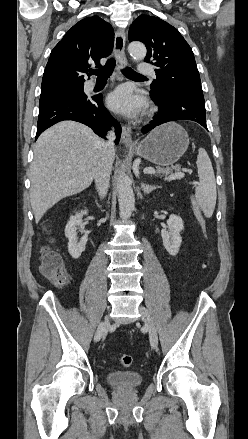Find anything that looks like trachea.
<instances>
[{
	"label": "trachea",
	"instance_id": "trachea-1",
	"mask_svg": "<svg viewBox=\"0 0 248 439\" xmlns=\"http://www.w3.org/2000/svg\"><path fill=\"white\" fill-rule=\"evenodd\" d=\"M114 66H115V59H110L104 67L97 70H93L91 73L93 75H96L98 80H107L111 76L114 70ZM122 73L126 77H144L143 75L135 72L130 67H125L124 69H122Z\"/></svg>",
	"mask_w": 248,
	"mask_h": 439
}]
</instances>
